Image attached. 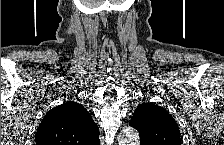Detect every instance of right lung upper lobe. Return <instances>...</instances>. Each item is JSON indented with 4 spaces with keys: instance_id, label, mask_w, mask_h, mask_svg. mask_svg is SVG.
Masks as SVG:
<instances>
[{
    "instance_id": "1",
    "label": "right lung upper lobe",
    "mask_w": 224,
    "mask_h": 145,
    "mask_svg": "<svg viewBox=\"0 0 224 145\" xmlns=\"http://www.w3.org/2000/svg\"><path fill=\"white\" fill-rule=\"evenodd\" d=\"M36 145H99V128L80 104L67 101L51 109L40 123Z\"/></svg>"
}]
</instances>
